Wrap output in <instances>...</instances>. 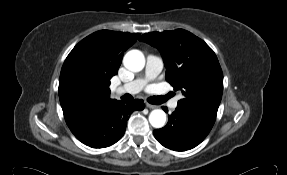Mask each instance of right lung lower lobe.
I'll return each instance as SVG.
<instances>
[{
    "label": "right lung lower lobe",
    "mask_w": 287,
    "mask_h": 175,
    "mask_svg": "<svg viewBox=\"0 0 287 175\" xmlns=\"http://www.w3.org/2000/svg\"><path fill=\"white\" fill-rule=\"evenodd\" d=\"M143 109V100H114L97 109L88 118L74 121L68 127L85 145L105 148L119 141L124 135L129 115L135 110Z\"/></svg>",
    "instance_id": "1"
}]
</instances>
